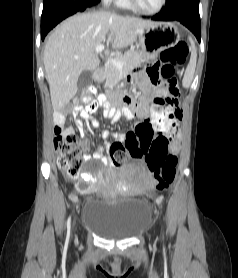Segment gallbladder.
<instances>
[{"label": "gallbladder", "instance_id": "gallbladder-1", "mask_svg": "<svg viewBox=\"0 0 238 278\" xmlns=\"http://www.w3.org/2000/svg\"><path fill=\"white\" fill-rule=\"evenodd\" d=\"M92 81H93L92 71L85 70L80 74L77 85L79 88H82V87H85V86L91 84Z\"/></svg>", "mask_w": 238, "mask_h": 278}]
</instances>
